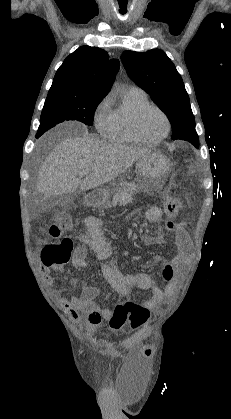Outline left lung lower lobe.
<instances>
[{
  "label": "left lung lower lobe",
  "mask_w": 231,
  "mask_h": 419,
  "mask_svg": "<svg viewBox=\"0 0 231 419\" xmlns=\"http://www.w3.org/2000/svg\"><path fill=\"white\" fill-rule=\"evenodd\" d=\"M196 148H199V145H194Z\"/></svg>",
  "instance_id": "obj_1"
}]
</instances>
